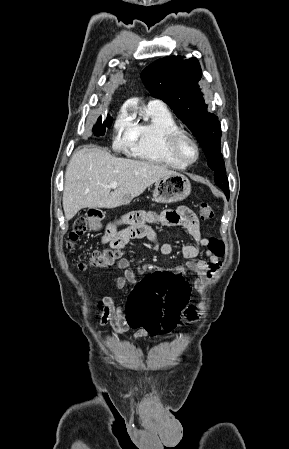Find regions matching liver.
Listing matches in <instances>:
<instances>
[{
	"label": "liver",
	"instance_id": "1",
	"mask_svg": "<svg viewBox=\"0 0 289 449\" xmlns=\"http://www.w3.org/2000/svg\"><path fill=\"white\" fill-rule=\"evenodd\" d=\"M177 172L148 161L117 158L99 148L72 155L65 172L63 209L66 220L83 208H116L129 204L159 179ZM117 181L113 192L108 187Z\"/></svg>",
	"mask_w": 289,
	"mask_h": 449
}]
</instances>
